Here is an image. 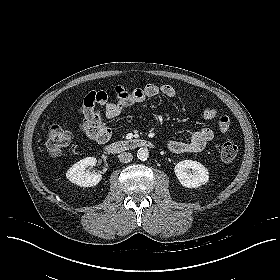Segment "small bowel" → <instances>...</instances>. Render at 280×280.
Listing matches in <instances>:
<instances>
[{
	"label": "small bowel",
	"mask_w": 280,
	"mask_h": 280,
	"mask_svg": "<svg viewBox=\"0 0 280 280\" xmlns=\"http://www.w3.org/2000/svg\"><path fill=\"white\" fill-rule=\"evenodd\" d=\"M117 101L109 99L105 91H91L80 105L78 111L83 117L81 130L90 134L92 128H97L106 132L104 138L98 139L102 142L110 137V129L101 119V113L104 112L108 119L118 117L122 111L128 107L139 105L145 102L147 98L155 97L162 94L166 97H176L178 91L169 84L157 85L149 83L142 88L129 91L125 86H117L115 89ZM98 106V108H96ZM215 110L206 109L203 116L207 119L214 118ZM221 133H226L228 129L219 126ZM214 138V132L204 127L193 132L187 141L171 140L168 142L170 152L179 154L184 152H194L203 149Z\"/></svg>",
	"instance_id": "c3829d8e"
}]
</instances>
